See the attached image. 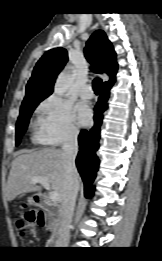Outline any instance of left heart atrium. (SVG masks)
I'll return each instance as SVG.
<instances>
[{"label": "left heart atrium", "mask_w": 162, "mask_h": 261, "mask_svg": "<svg viewBox=\"0 0 162 261\" xmlns=\"http://www.w3.org/2000/svg\"><path fill=\"white\" fill-rule=\"evenodd\" d=\"M78 121L81 125L86 126L91 122L92 111L86 103H79L76 106Z\"/></svg>", "instance_id": "left-heart-atrium-1"}]
</instances>
